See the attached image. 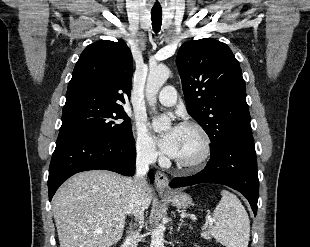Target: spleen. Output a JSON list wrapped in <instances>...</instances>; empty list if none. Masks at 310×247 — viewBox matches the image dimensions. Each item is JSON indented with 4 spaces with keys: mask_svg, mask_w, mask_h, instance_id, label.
<instances>
[{
    "mask_svg": "<svg viewBox=\"0 0 310 247\" xmlns=\"http://www.w3.org/2000/svg\"><path fill=\"white\" fill-rule=\"evenodd\" d=\"M221 201L214 210L215 226H211L213 237L226 247H248L250 221L248 214L236 195L221 191Z\"/></svg>",
    "mask_w": 310,
    "mask_h": 247,
    "instance_id": "1",
    "label": "spleen"
}]
</instances>
